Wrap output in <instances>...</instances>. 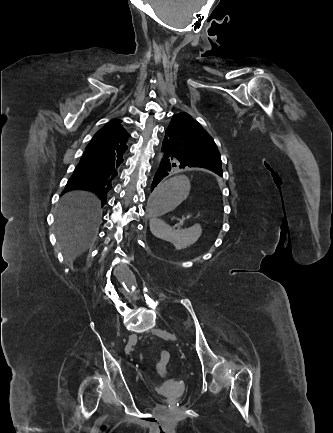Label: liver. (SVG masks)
I'll use <instances>...</instances> for the list:
<instances>
[{"label":"liver","mask_w":333,"mask_h":433,"mask_svg":"<svg viewBox=\"0 0 333 433\" xmlns=\"http://www.w3.org/2000/svg\"><path fill=\"white\" fill-rule=\"evenodd\" d=\"M101 214V201L91 192L76 190L61 198L55 230L66 260L73 262L93 244Z\"/></svg>","instance_id":"liver-1"}]
</instances>
